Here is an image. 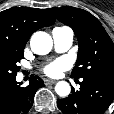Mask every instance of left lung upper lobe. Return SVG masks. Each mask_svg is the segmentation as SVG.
Masks as SVG:
<instances>
[{"label": "left lung upper lobe", "mask_w": 114, "mask_h": 114, "mask_svg": "<svg viewBox=\"0 0 114 114\" xmlns=\"http://www.w3.org/2000/svg\"><path fill=\"white\" fill-rule=\"evenodd\" d=\"M59 21L70 26L79 42L75 78L99 77L114 81V43L100 21L89 12L74 8L48 9Z\"/></svg>", "instance_id": "left-lung-upper-lobe-1"}]
</instances>
